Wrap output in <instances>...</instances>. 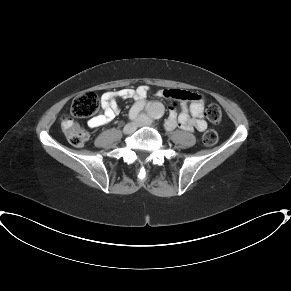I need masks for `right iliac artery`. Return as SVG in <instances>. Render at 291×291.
Listing matches in <instances>:
<instances>
[{
  "instance_id": "obj_1",
  "label": "right iliac artery",
  "mask_w": 291,
  "mask_h": 291,
  "mask_svg": "<svg viewBox=\"0 0 291 291\" xmlns=\"http://www.w3.org/2000/svg\"><path fill=\"white\" fill-rule=\"evenodd\" d=\"M138 113H139V109H137L135 106H133L129 111V119L136 120Z\"/></svg>"
}]
</instances>
